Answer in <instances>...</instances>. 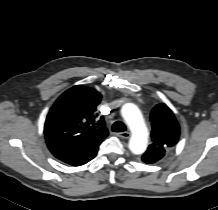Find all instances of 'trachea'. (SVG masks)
I'll return each instance as SVG.
<instances>
[{
  "mask_svg": "<svg viewBox=\"0 0 218 210\" xmlns=\"http://www.w3.org/2000/svg\"><path fill=\"white\" fill-rule=\"evenodd\" d=\"M126 130V126L121 121H116L112 126L113 132H124Z\"/></svg>",
  "mask_w": 218,
  "mask_h": 210,
  "instance_id": "3493384b",
  "label": "trachea"
}]
</instances>
